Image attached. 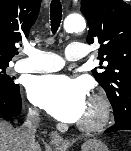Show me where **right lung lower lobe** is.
Masks as SVG:
<instances>
[{"mask_svg":"<svg viewBox=\"0 0 131 151\" xmlns=\"http://www.w3.org/2000/svg\"><path fill=\"white\" fill-rule=\"evenodd\" d=\"M21 111L19 85L10 90H0V117L11 118Z\"/></svg>","mask_w":131,"mask_h":151,"instance_id":"obj_1","label":"right lung lower lobe"}]
</instances>
